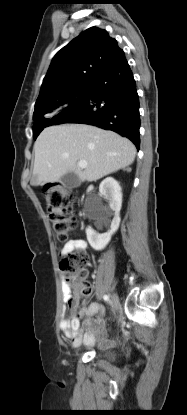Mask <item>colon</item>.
Here are the masks:
<instances>
[{"instance_id": "colon-1", "label": "colon", "mask_w": 187, "mask_h": 415, "mask_svg": "<svg viewBox=\"0 0 187 415\" xmlns=\"http://www.w3.org/2000/svg\"><path fill=\"white\" fill-rule=\"evenodd\" d=\"M45 191L47 210L54 231L60 241H66L69 232L76 229L79 223L72 192L61 183H49ZM87 263V255L82 250L69 253L60 262L61 269L68 272L67 280L74 295H88L91 292L90 284L84 281L83 269Z\"/></svg>"}]
</instances>
